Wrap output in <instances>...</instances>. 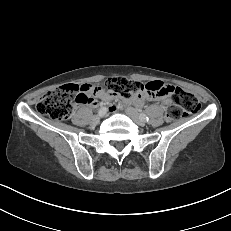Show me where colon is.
<instances>
[{"label":"colon","mask_w":231,"mask_h":231,"mask_svg":"<svg viewBox=\"0 0 231 231\" xmlns=\"http://www.w3.org/2000/svg\"><path fill=\"white\" fill-rule=\"evenodd\" d=\"M164 87L166 84L160 81L144 84L122 77H111L105 83L107 91L121 94L126 99H132L144 90L152 94L169 92L172 100L168 102L166 118L170 121L179 120L187 113H195L199 110V101L193 94L174 86H170L167 90H163ZM85 101L86 96L78 85L67 84L40 97L36 109L44 116L61 121L70 116L73 102L84 103Z\"/></svg>","instance_id":"1"}]
</instances>
